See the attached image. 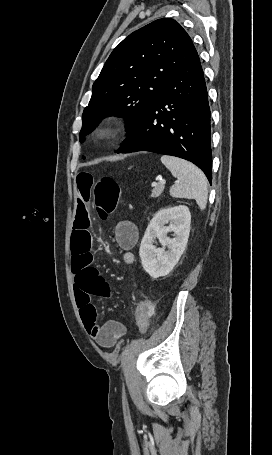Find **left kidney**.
<instances>
[{
	"label": "left kidney",
	"mask_w": 272,
	"mask_h": 455,
	"mask_svg": "<svg viewBox=\"0 0 272 455\" xmlns=\"http://www.w3.org/2000/svg\"><path fill=\"white\" fill-rule=\"evenodd\" d=\"M169 226H165V224ZM191 214L187 206L160 209L150 221L142 238L139 255L144 270L152 277L159 278L169 274L183 254L190 233ZM174 233V238L167 236ZM159 239L162 248L154 246ZM168 251H165V247Z\"/></svg>",
	"instance_id": "left-kidney-1"
}]
</instances>
